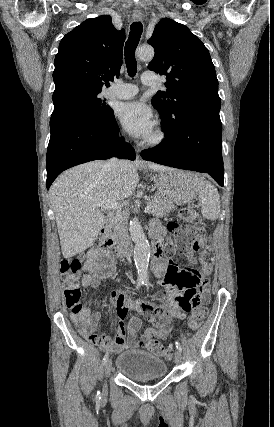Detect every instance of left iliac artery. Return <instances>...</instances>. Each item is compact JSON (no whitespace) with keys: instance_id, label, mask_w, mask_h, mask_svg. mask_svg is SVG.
I'll return each instance as SVG.
<instances>
[{"instance_id":"left-iliac-artery-1","label":"left iliac artery","mask_w":274,"mask_h":427,"mask_svg":"<svg viewBox=\"0 0 274 427\" xmlns=\"http://www.w3.org/2000/svg\"><path fill=\"white\" fill-rule=\"evenodd\" d=\"M144 283H145L146 287L149 288V286H150L149 281L145 280ZM175 344H176L177 350H179L180 352H182V347H181V344L179 343V341H176Z\"/></svg>"}]
</instances>
